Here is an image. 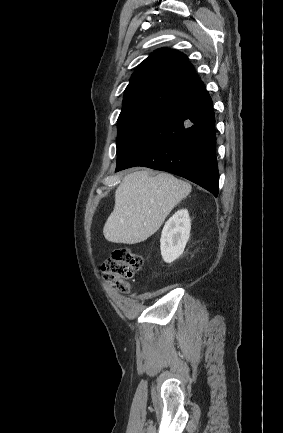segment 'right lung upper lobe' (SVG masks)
I'll list each match as a JSON object with an SVG mask.
<instances>
[{
  "label": "right lung upper lobe",
  "mask_w": 283,
  "mask_h": 433,
  "mask_svg": "<svg viewBox=\"0 0 283 433\" xmlns=\"http://www.w3.org/2000/svg\"><path fill=\"white\" fill-rule=\"evenodd\" d=\"M205 90L187 57L176 50L153 52L135 69L127 86L123 108L164 112Z\"/></svg>",
  "instance_id": "cb5924a9"
}]
</instances>
